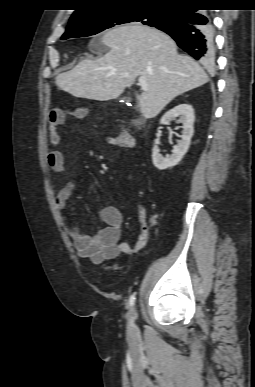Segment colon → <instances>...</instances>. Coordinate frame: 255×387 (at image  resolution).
I'll use <instances>...</instances> for the list:
<instances>
[{
	"instance_id": "obj_1",
	"label": "colon",
	"mask_w": 255,
	"mask_h": 387,
	"mask_svg": "<svg viewBox=\"0 0 255 387\" xmlns=\"http://www.w3.org/2000/svg\"><path fill=\"white\" fill-rule=\"evenodd\" d=\"M108 143L116 147L134 149L136 147V139L129 133H122L117 136L109 137ZM143 229L147 231V225Z\"/></svg>"
}]
</instances>
